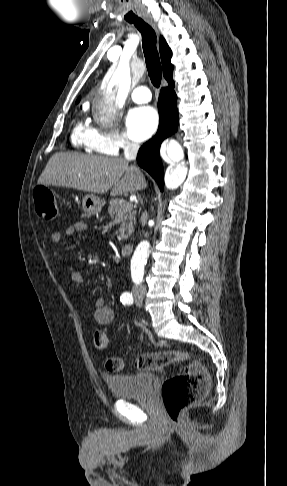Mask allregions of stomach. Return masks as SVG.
Returning <instances> with one entry per match:
<instances>
[{
  "instance_id": "stomach-1",
  "label": "stomach",
  "mask_w": 287,
  "mask_h": 486,
  "mask_svg": "<svg viewBox=\"0 0 287 486\" xmlns=\"http://www.w3.org/2000/svg\"><path fill=\"white\" fill-rule=\"evenodd\" d=\"M104 206V202L95 194H86L82 199V208L88 214H97Z\"/></svg>"
}]
</instances>
